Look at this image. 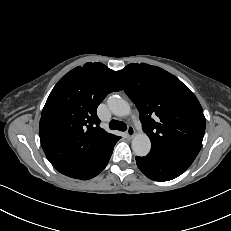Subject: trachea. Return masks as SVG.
Instances as JSON below:
<instances>
[{
  "label": "trachea",
  "mask_w": 231,
  "mask_h": 231,
  "mask_svg": "<svg viewBox=\"0 0 231 231\" xmlns=\"http://www.w3.org/2000/svg\"><path fill=\"white\" fill-rule=\"evenodd\" d=\"M109 128L111 130L125 131L127 129V126L122 121L111 120L109 123Z\"/></svg>",
  "instance_id": "obj_1"
}]
</instances>
